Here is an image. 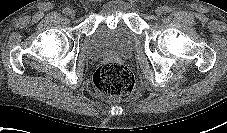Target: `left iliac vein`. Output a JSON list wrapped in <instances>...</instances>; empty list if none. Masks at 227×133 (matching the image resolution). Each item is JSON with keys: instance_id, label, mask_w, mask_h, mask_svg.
I'll return each mask as SVG.
<instances>
[{"instance_id": "left-iliac-vein-1", "label": "left iliac vein", "mask_w": 227, "mask_h": 133, "mask_svg": "<svg viewBox=\"0 0 227 133\" xmlns=\"http://www.w3.org/2000/svg\"><path fill=\"white\" fill-rule=\"evenodd\" d=\"M155 13L157 16H161L165 13L164 8L163 7H157L155 10Z\"/></svg>"}]
</instances>
